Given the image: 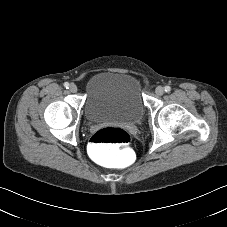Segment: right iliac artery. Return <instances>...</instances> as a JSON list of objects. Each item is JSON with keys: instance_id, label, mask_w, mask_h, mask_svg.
I'll return each mask as SVG.
<instances>
[{"instance_id": "obj_1", "label": "right iliac artery", "mask_w": 227, "mask_h": 227, "mask_svg": "<svg viewBox=\"0 0 227 227\" xmlns=\"http://www.w3.org/2000/svg\"><path fill=\"white\" fill-rule=\"evenodd\" d=\"M69 86H70V85H69V83H68V82H65V83H64V87H65L66 89H68V88H69Z\"/></svg>"}]
</instances>
